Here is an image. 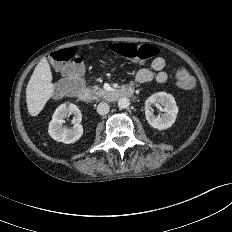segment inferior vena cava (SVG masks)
Masks as SVG:
<instances>
[{
  "label": "inferior vena cava",
  "mask_w": 232,
  "mask_h": 232,
  "mask_svg": "<svg viewBox=\"0 0 232 232\" xmlns=\"http://www.w3.org/2000/svg\"><path fill=\"white\" fill-rule=\"evenodd\" d=\"M110 110V107L107 103L105 102H101L98 104L97 106V112L100 115H106Z\"/></svg>",
  "instance_id": "inferior-vena-cava-1"
}]
</instances>
